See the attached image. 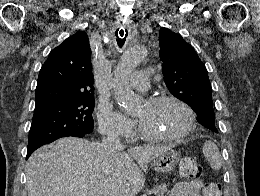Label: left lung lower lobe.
<instances>
[{"instance_id":"0a47b994","label":"left lung lower lobe","mask_w":260,"mask_h":196,"mask_svg":"<svg viewBox=\"0 0 260 196\" xmlns=\"http://www.w3.org/2000/svg\"><path fill=\"white\" fill-rule=\"evenodd\" d=\"M198 115V121L203 125H210L211 123L215 122L214 112H206L203 110H199L196 112Z\"/></svg>"}]
</instances>
